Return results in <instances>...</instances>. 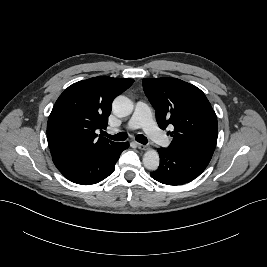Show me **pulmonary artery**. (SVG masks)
Wrapping results in <instances>:
<instances>
[{"mask_svg":"<svg viewBox=\"0 0 267 267\" xmlns=\"http://www.w3.org/2000/svg\"><path fill=\"white\" fill-rule=\"evenodd\" d=\"M126 128L129 130L143 128L149 137L159 145L166 146L169 143L168 138L156 126L150 107L143 101L137 102Z\"/></svg>","mask_w":267,"mask_h":267,"instance_id":"obj_1","label":"pulmonary artery"}]
</instances>
